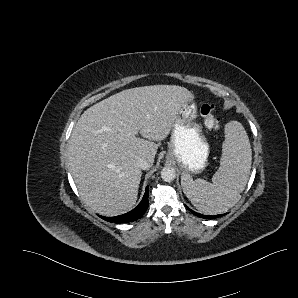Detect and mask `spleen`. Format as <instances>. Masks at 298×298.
<instances>
[{"instance_id": "spleen-1", "label": "spleen", "mask_w": 298, "mask_h": 298, "mask_svg": "<svg viewBox=\"0 0 298 298\" xmlns=\"http://www.w3.org/2000/svg\"><path fill=\"white\" fill-rule=\"evenodd\" d=\"M225 131L223 156L212 183L202 179L193 181L191 175H182L184 193L193 206L206 215L231 209L240 200L250 176L252 148L245 127L239 121H230Z\"/></svg>"}]
</instances>
